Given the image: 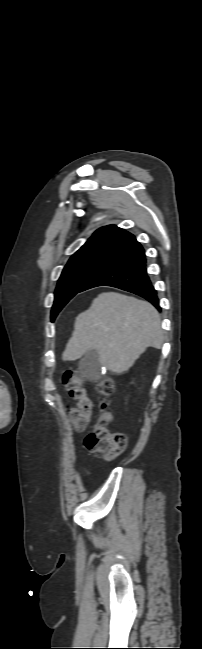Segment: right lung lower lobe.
<instances>
[{"instance_id":"1","label":"right lung lower lobe","mask_w":202,"mask_h":649,"mask_svg":"<svg viewBox=\"0 0 202 649\" xmlns=\"http://www.w3.org/2000/svg\"><path fill=\"white\" fill-rule=\"evenodd\" d=\"M97 286H112L132 292L160 310L157 292L146 271L145 251L140 244L114 256L85 283L80 292Z\"/></svg>"}]
</instances>
